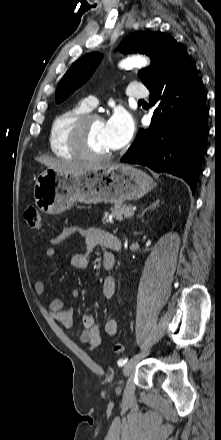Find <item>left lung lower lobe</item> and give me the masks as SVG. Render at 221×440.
<instances>
[{
  "label": "left lung lower lobe",
  "instance_id": "1",
  "mask_svg": "<svg viewBox=\"0 0 221 440\" xmlns=\"http://www.w3.org/2000/svg\"><path fill=\"white\" fill-rule=\"evenodd\" d=\"M155 105L151 125L139 129L122 161L183 178L196 191L209 132L207 96L196 67L184 49L177 51L147 87Z\"/></svg>",
  "mask_w": 221,
  "mask_h": 440
}]
</instances>
